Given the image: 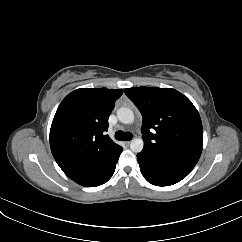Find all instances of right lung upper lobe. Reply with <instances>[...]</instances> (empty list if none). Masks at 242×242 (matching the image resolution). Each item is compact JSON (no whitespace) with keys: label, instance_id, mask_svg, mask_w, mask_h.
I'll return each mask as SVG.
<instances>
[{"label":"right lung upper lobe","instance_id":"1","mask_svg":"<svg viewBox=\"0 0 242 242\" xmlns=\"http://www.w3.org/2000/svg\"><path fill=\"white\" fill-rule=\"evenodd\" d=\"M122 89L80 88L59 105L50 129L52 154L74 178L118 145L105 134L108 118Z\"/></svg>","mask_w":242,"mask_h":242}]
</instances>
